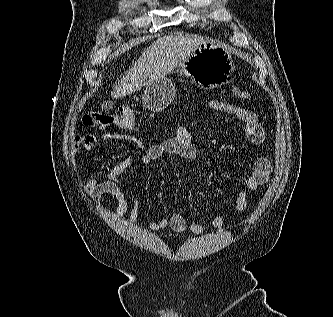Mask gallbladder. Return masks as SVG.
Masks as SVG:
<instances>
[{
	"instance_id": "1",
	"label": "gallbladder",
	"mask_w": 333,
	"mask_h": 317,
	"mask_svg": "<svg viewBox=\"0 0 333 317\" xmlns=\"http://www.w3.org/2000/svg\"><path fill=\"white\" fill-rule=\"evenodd\" d=\"M112 107H113V101H105V102L102 104V109H103V110H106V111L112 109Z\"/></svg>"
}]
</instances>
